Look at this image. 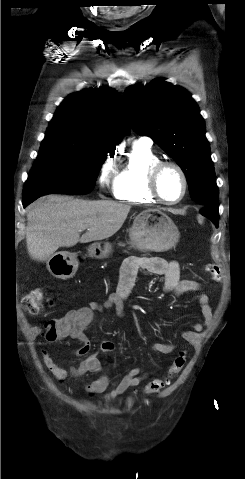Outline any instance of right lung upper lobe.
Returning a JSON list of instances; mask_svg holds the SVG:
<instances>
[{
	"instance_id": "cb5924a9",
	"label": "right lung upper lobe",
	"mask_w": 245,
	"mask_h": 479,
	"mask_svg": "<svg viewBox=\"0 0 245 479\" xmlns=\"http://www.w3.org/2000/svg\"><path fill=\"white\" fill-rule=\"evenodd\" d=\"M130 129L120 96L113 89L101 88L69 95L59 105L46 134L113 150Z\"/></svg>"
}]
</instances>
